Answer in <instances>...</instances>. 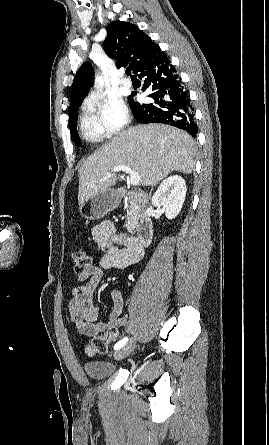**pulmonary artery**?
Returning <instances> with one entry per match:
<instances>
[{
    "mask_svg": "<svg viewBox=\"0 0 269 445\" xmlns=\"http://www.w3.org/2000/svg\"><path fill=\"white\" fill-rule=\"evenodd\" d=\"M120 83L123 87H131L132 86V82L129 78L126 77H122L120 80Z\"/></svg>",
    "mask_w": 269,
    "mask_h": 445,
    "instance_id": "pulmonary-artery-1",
    "label": "pulmonary artery"
}]
</instances>
